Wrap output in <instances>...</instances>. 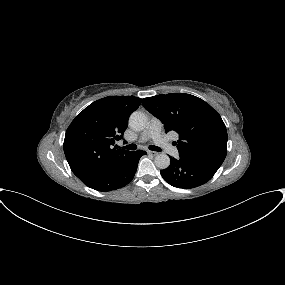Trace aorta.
<instances>
[{"mask_svg": "<svg viewBox=\"0 0 285 285\" xmlns=\"http://www.w3.org/2000/svg\"><path fill=\"white\" fill-rule=\"evenodd\" d=\"M147 125V117L144 113L135 111L129 117V126L135 131H142ZM159 169H166L170 165V158L164 153L158 154L154 159Z\"/></svg>", "mask_w": 285, "mask_h": 285, "instance_id": "762f6f07", "label": "aorta"}]
</instances>
